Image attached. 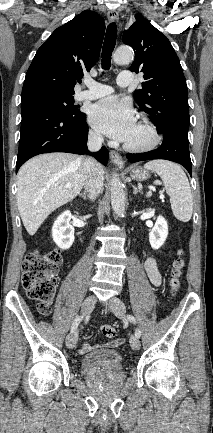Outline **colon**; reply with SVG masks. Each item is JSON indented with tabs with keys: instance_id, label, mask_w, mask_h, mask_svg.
Listing matches in <instances>:
<instances>
[{
	"instance_id": "colon-1",
	"label": "colon",
	"mask_w": 213,
	"mask_h": 433,
	"mask_svg": "<svg viewBox=\"0 0 213 433\" xmlns=\"http://www.w3.org/2000/svg\"><path fill=\"white\" fill-rule=\"evenodd\" d=\"M61 262L60 251L54 249L46 253L30 252L22 263V286L31 299L38 301V310L44 315L50 312V303L56 292L57 274ZM184 265L182 251H178L170 271V287L173 294L180 287ZM101 331L108 338L116 335V329L110 324L102 325Z\"/></svg>"
}]
</instances>
